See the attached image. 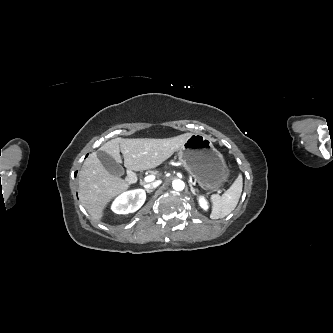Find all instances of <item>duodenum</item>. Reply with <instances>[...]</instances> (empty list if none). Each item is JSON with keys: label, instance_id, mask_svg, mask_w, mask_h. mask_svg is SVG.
I'll return each instance as SVG.
<instances>
[{"label": "duodenum", "instance_id": "1", "mask_svg": "<svg viewBox=\"0 0 333 333\" xmlns=\"http://www.w3.org/2000/svg\"><path fill=\"white\" fill-rule=\"evenodd\" d=\"M136 177H137L136 173L134 171L130 170L127 175V181L134 182L136 180Z\"/></svg>", "mask_w": 333, "mask_h": 333}]
</instances>
